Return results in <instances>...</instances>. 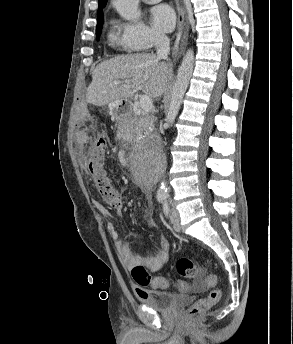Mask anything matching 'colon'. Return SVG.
Wrapping results in <instances>:
<instances>
[{
	"label": "colon",
	"instance_id": "5ec220e1",
	"mask_svg": "<svg viewBox=\"0 0 293 344\" xmlns=\"http://www.w3.org/2000/svg\"><path fill=\"white\" fill-rule=\"evenodd\" d=\"M108 148V141L104 137H99L95 141L87 159V166L90 176L103 200L113 206L121 204V196L110 181L105 170V159ZM176 270L184 278L198 279L203 275V268L195 264L188 258H180L175 264ZM131 276L134 282L140 286L151 285L155 288H166L168 281L160 277H152L145 267L136 266L131 269ZM215 276L209 275V281H214ZM177 287L181 290L187 289L182 281L177 282ZM220 289L212 290L206 298L198 300L188 309V317L196 318L200 314L211 309L221 298Z\"/></svg>",
	"mask_w": 293,
	"mask_h": 344
}]
</instances>
